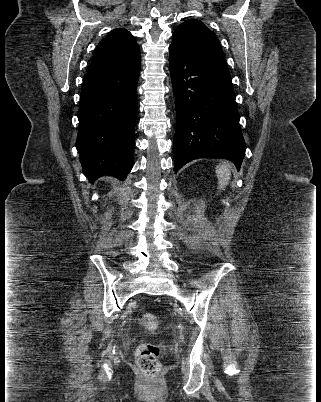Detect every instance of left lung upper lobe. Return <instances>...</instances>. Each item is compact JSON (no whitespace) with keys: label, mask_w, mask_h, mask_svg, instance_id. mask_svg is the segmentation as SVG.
<instances>
[{"label":"left lung upper lobe","mask_w":321,"mask_h":402,"mask_svg":"<svg viewBox=\"0 0 321 402\" xmlns=\"http://www.w3.org/2000/svg\"><path fill=\"white\" fill-rule=\"evenodd\" d=\"M171 45L193 56L226 64L218 38L199 20L191 19L180 24L173 33Z\"/></svg>","instance_id":"left-lung-upper-lobe-1"}]
</instances>
